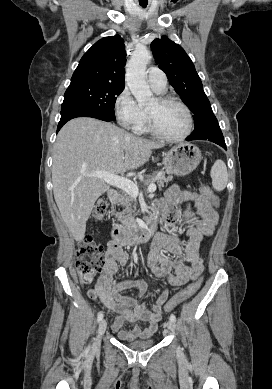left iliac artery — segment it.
<instances>
[{"mask_svg": "<svg viewBox=\"0 0 272 389\" xmlns=\"http://www.w3.org/2000/svg\"><path fill=\"white\" fill-rule=\"evenodd\" d=\"M170 320H171V321H173V322H175V321H176V316H175V315H173V314H171V316H170Z\"/></svg>", "mask_w": 272, "mask_h": 389, "instance_id": "44dca946", "label": "left iliac artery"}]
</instances>
